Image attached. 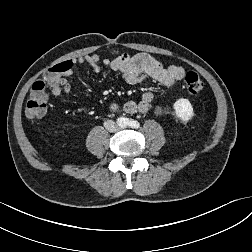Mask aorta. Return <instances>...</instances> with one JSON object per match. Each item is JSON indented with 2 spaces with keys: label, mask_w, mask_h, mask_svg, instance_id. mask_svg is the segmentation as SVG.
Segmentation results:
<instances>
[{
  "label": "aorta",
  "mask_w": 252,
  "mask_h": 252,
  "mask_svg": "<svg viewBox=\"0 0 252 252\" xmlns=\"http://www.w3.org/2000/svg\"><path fill=\"white\" fill-rule=\"evenodd\" d=\"M125 123H126V121H125L124 118H120V119H119V124H120L121 126L125 125Z\"/></svg>",
  "instance_id": "762f6f07"
}]
</instances>
